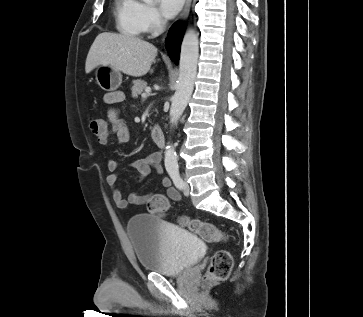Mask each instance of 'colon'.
<instances>
[{
    "label": "colon",
    "mask_w": 363,
    "mask_h": 317,
    "mask_svg": "<svg viewBox=\"0 0 363 317\" xmlns=\"http://www.w3.org/2000/svg\"><path fill=\"white\" fill-rule=\"evenodd\" d=\"M89 129L96 136L101 135L105 131V123L100 118L91 117L89 119ZM147 206L151 214L162 216L167 204L163 199H154L148 202ZM180 223L207 242H221L225 239L224 233L212 223L187 217L180 218ZM232 266L233 261L231 255L225 250L217 251L211 258L204 277L205 281L213 282L228 278L232 271Z\"/></svg>",
    "instance_id": "5ec220e1"
}]
</instances>
